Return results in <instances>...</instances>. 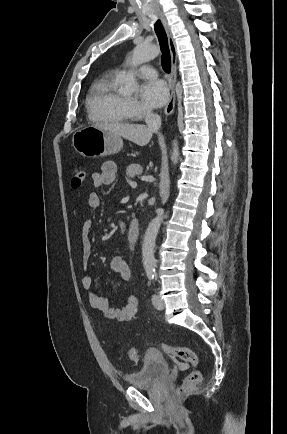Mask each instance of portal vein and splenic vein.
Masks as SVG:
<instances>
[{"instance_id":"18ae733b","label":"portal vein and splenic vein","mask_w":287,"mask_h":434,"mask_svg":"<svg viewBox=\"0 0 287 434\" xmlns=\"http://www.w3.org/2000/svg\"><path fill=\"white\" fill-rule=\"evenodd\" d=\"M130 186H131L132 188H136V187H137V183H136V182H131V183H130Z\"/></svg>"}]
</instances>
